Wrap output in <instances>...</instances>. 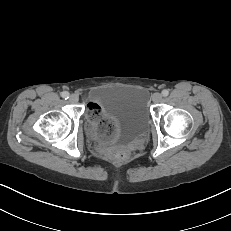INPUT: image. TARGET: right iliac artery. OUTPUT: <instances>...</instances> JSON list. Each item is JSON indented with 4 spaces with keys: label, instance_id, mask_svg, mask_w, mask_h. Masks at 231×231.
Listing matches in <instances>:
<instances>
[{
    "label": "right iliac artery",
    "instance_id": "right-iliac-artery-1",
    "mask_svg": "<svg viewBox=\"0 0 231 231\" xmlns=\"http://www.w3.org/2000/svg\"><path fill=\"white\" fill-rule=\"evenodd\" d=\"M62 98L68 99L69 98V93L67 91H64L61 93Z\"/></svg>",
    "mask_w": 231,
    "mask_h": 231
}]
</instances>
